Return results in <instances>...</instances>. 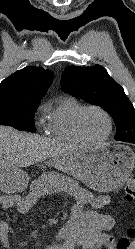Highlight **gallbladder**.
I'll use <instances>...</instances> for the list:
<instances>
[{
	"mask_svg": "<svg viewBox=\"0 0 135 249\" xmlns=\"http://www.w3.org/2000/svg\"><path fill=\"white\" fill-rule=\"evenodd\" d=\"M0 182H1L2 184H5V183H6L4 180H0Z\"/></svg>",
	"mask_w": 135,
	"mask_h": 249,
	"instance_id": "bac80fb5",
	"label": "gallbladder"
}]
</instances>
